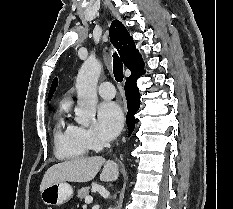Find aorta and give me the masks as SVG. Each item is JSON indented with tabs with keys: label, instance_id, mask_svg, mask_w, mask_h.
Here are the masks:
<instances>
[{
	"label": "aorta",
	"instance_id": "762f6f07",
	"mask_svg": "<svg viewBox=\"0 0 233 209\" xmlns=\"http://www.w3.org/2000/svg\"><path fill=\"white\" fill-rule=\"evenodd\" d=\"M102 70V65L96 59H87L81 66L76 89L78 105L75 108V121L83 126H89L96 115L97 83Z\"/></svg>",
	"mask_w": 233,
	"mask_h": 209
}]
</instances>
